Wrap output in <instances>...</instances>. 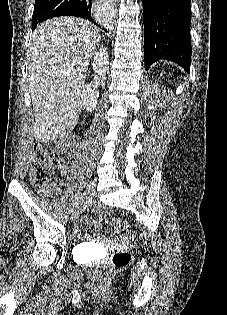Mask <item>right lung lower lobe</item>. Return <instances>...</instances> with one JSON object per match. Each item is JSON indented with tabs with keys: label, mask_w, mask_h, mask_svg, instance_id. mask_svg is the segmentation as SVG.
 <instances>
[{
	"label": "right lung lower lobe",
	"mask_w": 227,
	"mask_h": 315,
	"mask_svg": "<svg viewBox=\"0 0 227 315\" xmlns=\"http://www.w3.org/2000/svg\"><path fill=\"white\" fill-rule=\"evenodd\" d=\"M92 0H74V2L64 9L57 10V16H77L94 22L91 17Z\"/></svg>",
	"instance_id": "obj_1"
}]
</instances>
